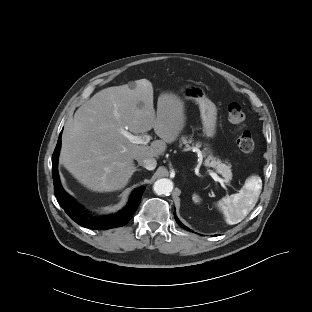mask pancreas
Wrapping results in <instances>:
<instances>
[{"label": "pancreas", "mask_w": 312, "mask_h": 312, "mask_svg": "<svg viewBox=\"0 0 312 312\" xmlns=\"http://www.w3.org/2000/svg\"><path fill=\"white\" fill-rule=\"evenodd\" d=\"M182 143L186 145V147H189L188 143H191V140L187 141L185 138L182 139ZM197 147H199V144H196ZM211 159V158H210ZM207 160V164H209L212 167H215L218 172L222 174V176L225 178L226 182H229L232 179V172H231V166L221 163L219 160L215 159Z\"/></svg>", "instance_id": "pancreas-1"}]
</instances>
